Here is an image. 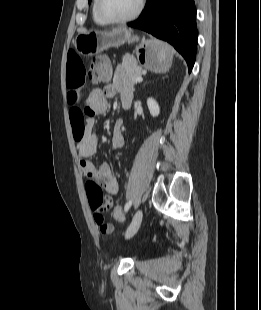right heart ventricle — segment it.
Instances as JSON below:
<instances>
[{"label":"right heart ventricle","instance_id":"obj_1","mask_svg":"<svg viewBox=\"0 0 261 310\" xmlns=\"http://www.w3.org/2000/svg\"><path fill=\"white\" fill-rule=\"evenodd\" d=\"M92 16H93L94 22H95L97 25H100V26H105V25H107V23H105L104 21H102V20L98 17V15L96 14L95 7H94V1H93V6H92Z\"/></svg>","mask_w":261,"mask_h":310}]
</instances>
